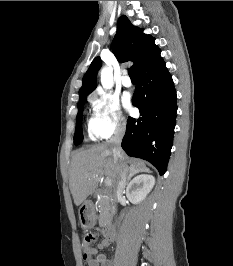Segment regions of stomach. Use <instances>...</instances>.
<instances>
[{
    "instance_id": "stomach-1",
    "label": "stomach",
    "mask_w": 233,
    "mask_h": 266,
    "mask_svg": "<svg viewBox=\"0 0 233 266\" xmlns=\"http://www.w3.org/2000/svg\"><path fill=\"white\" fill-rule=\"evenodd\" d=\"M82 209H78V214H82L81 224L83 227H91L94 225L96 216L91 204H82Z\"/></svg>"
}]
</instances>
